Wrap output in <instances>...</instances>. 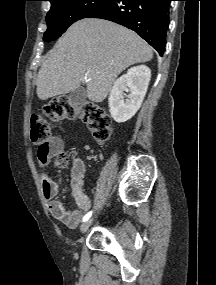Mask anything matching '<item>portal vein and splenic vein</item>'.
<instances>
[{
    "label": "portal vein and splenic vein",
    "mask_w": 216,
    "mask_h": 285,
    "mask_svg": "<svg viewBox=\"0 0 216 285\" xmlns=\"http://www.w3.org/2000/svg\"><path fill=\"white\" fill-rule=\"evenodd\" d=\"M83 80H86V81H87V78H86V77H84V78H83Z\"/></svg>",
    "instance_id": "18ae733b"
}]
</instances>
